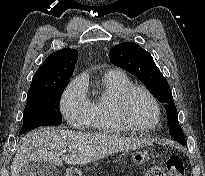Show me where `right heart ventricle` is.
<instances>
[{"instance_id":"right-heart-ventricle-1","label":"right heart ventricle","mask_w":205,"mask_h":176,"mask_svg":"<svg viewBox=\"0 0 205 176\" xmlns=\"http://www.w3.org/2000/svg\"><path fill=\"white\" fill-rule=\"evenodd\" d=\"M132 85L130 79L119 71L107 72L102 77L103 90L91 100L89 125L103 135L119 134L129 130L118 116L117 99Z\"/></svg>"}]
</instances>
